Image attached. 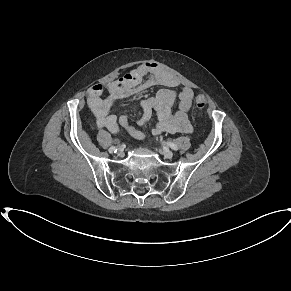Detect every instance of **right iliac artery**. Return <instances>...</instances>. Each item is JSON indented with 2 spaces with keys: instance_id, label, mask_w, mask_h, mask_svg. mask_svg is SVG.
Wrapping results in <instances>:
<instances>
[{
  "instance_id": "82829eb1",
  "label": "right iliac artery",
  "mask_w": 291,
  "mask_h": 291,
  "mask_svg": "<svg viewBox=\"0 0 291 291\" xmlns=\"http://www.w3.org/2000/svg\"><path fill=\"white\" fill-rule=\"evenodd\" d=\"M116 151H117V147H115V146H112L109 148L110 153H115Z\"/></svg>"
}]
</instances>
